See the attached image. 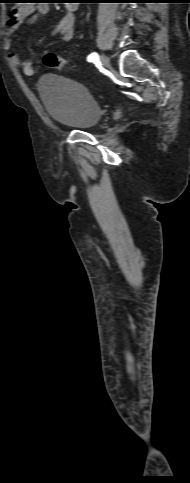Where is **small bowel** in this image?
<instances>
[{
	"mask_svg": "<svg viewBox=\"0 0 190 483\" xmlns=\"http://www.w3.org/2000/svg\"><path fill=\"white\" fill-rule=\"evenodd\" d=\"M75 10L76 7L70 5L65 16L56 24L51 31V35H58L64 42L73 39L75 33ZM48 12V7L44 4L35 6L33 4H23L11 10L7 17V27L4 32V46L7 51L8 59L15 65L21 67L26 75H32L34 68L30 60H22L17 51L11 50L15 32L18 27L28 18L29 23H35L44 17Z\"/></svg>",
	"mask_w": 190,
	"mask_h": 483,
	"instance_id": "small-bowel-1",
	"label": "small bowel"
}]
</instances>
